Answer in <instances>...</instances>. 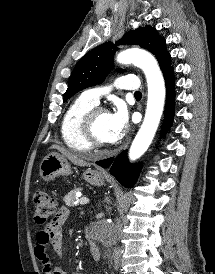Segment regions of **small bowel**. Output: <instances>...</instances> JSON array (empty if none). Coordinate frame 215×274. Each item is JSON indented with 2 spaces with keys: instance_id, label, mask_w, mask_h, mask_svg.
<instances>
[{
  "instance_id": "obj_1",
  "label": "small bowel",
  "mask_w": 215,
  "mask_h": 274,
  "mask_svg": "<svg viewBox=\"0 0 215 274\" xmlns=\"http://www.w3.org/2000/svg\"><path fill=\"white\" fill-rule=\"evenodd\" d=\"M69 216L66 208H61L47 227L36 235L35 256L40 261L45 274H70L54 266L50 256V248L56 255H61L63 250V234L61 227Z\"/></svg>"
}]
</instances>
